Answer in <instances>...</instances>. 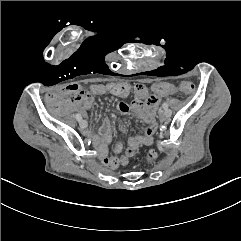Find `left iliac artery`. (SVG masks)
Returning <instances> with one entry per match:
<instances>
[{
	"mask_svg": "<svg viewBox=\"0 0 241 241\" xmlns=\"http://www.w3.org/2000/svg\"><path fill=\"white\" fill-rule=\"evenodd\" d=\"M162 107H163L164 109H167V108H168V104H167L166 102H164V103L162 104Z\"/></svg>",
	"mask_w": 241,
	"mask_h": 241,
	"instance_id": "left-iliac-artery-1",
	"label": "left iliac artery"
}]
</instances>
